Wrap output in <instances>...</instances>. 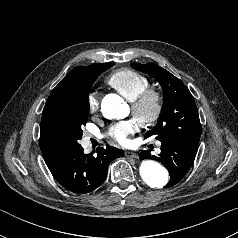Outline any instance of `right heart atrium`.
<instances>
[{
    "label": "right heart atrium",
    "mask_w": 238,
    "mask_h": 238,
    "mask_svg": "<svg viewBox=\"0 0 238 238\" xmlns=\"http://www.w3.org/2000/svg\"><path fill=\"white\" fill-rule=\"evenodd\" d=\"M100 99L96 91H91L87 96V107L90 113H95L99 109Z\"/></svg>",
    "instance_id": "d8ad5b80"
}]
</instances>
